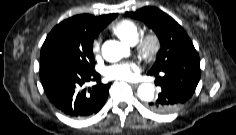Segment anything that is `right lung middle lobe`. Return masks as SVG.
<instances>
[{
	"label": "right lung middle lobe",
	"mask_w": 236,
	"mask_h": 135,
	"mask_svg": "<svg viewBox=\"0 0 236 135\" xmlns=\"http://www.w3.org/2000/svg\"><path fill=\"white\" fill-rule=\"evenodd\" d=\"M96 35L94 30L64 20L53 28L42 45L41 70H94L93 41Z\"/></svg>",
	"instance_id": "1"
}]
</instances>
